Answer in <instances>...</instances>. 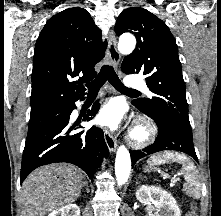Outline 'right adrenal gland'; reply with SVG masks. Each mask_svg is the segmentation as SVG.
<instances>
[{
  "label": "right adrenal gland",
  "mask_w": 221,
  "mask_h": 216,
  "mask_svg": "<svg viewBox=\"0 0 221 216\" xmlns=\"http://www.w3.org/2000/svg\"><path fill=\"white\" fill-rule=\"evenodd\" d=\"M84 186H86V190H87V192H89L90 190L88 188V183L87 182H84Z\"/></svg>",
  "instance_id": "1"
}]
</instances>
